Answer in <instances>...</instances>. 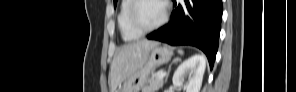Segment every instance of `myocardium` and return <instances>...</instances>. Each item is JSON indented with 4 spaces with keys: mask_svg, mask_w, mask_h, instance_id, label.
Here are the masks:
<instances>
[{
    "mask_svg": "<svg viewBox=\"0 0 296 92\" xmlns=\"http://www.w3.org/2000/svg\"><path fill=\"white\" fill-rule=\"evenodd\" d=\"M146 0H135L132 2V5L130 7L129 10V15H128V20H129V24L130 26L138 33L140 34H147L150 33L158 28H160L161 26H163L167 19H168V4L166 1H159L162 6H163V15L162 18L153 26L151 27H143L137 20V11L139 6L141 5L142 2H144Z\"/></svg>",
    "mask_w": 296,
    "mask_h": 92,
    "instance_id": "1",
    "label": "myocardium"
}]
</instances>
